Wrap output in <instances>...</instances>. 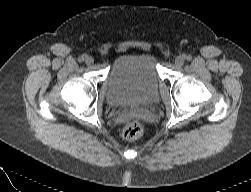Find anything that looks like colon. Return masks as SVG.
Here are the masks:
<instances>
[{"instance_id":"1","label":"colon","mask_w":251,"mask_h":192,"mask_svg":"<svg viewBox=\"0 0 251 192\" xmlns=\"http://www.w3.org/2000/svg\"><path fill=\"white\" fill-rule=\"evenodd\" d=\"M143 134V126L139 121L129 122L123 129L122 135L124 139L133 141L140 138Z\"/></svg>"}]
</instances>
